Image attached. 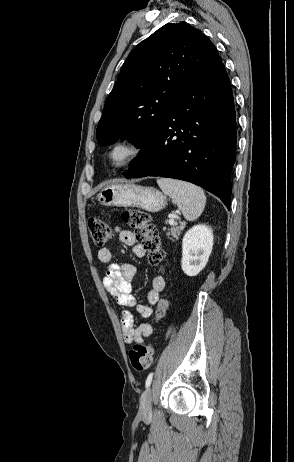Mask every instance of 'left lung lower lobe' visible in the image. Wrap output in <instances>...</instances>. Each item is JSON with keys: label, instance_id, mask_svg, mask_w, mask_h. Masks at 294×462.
Returning a JSON list of instances; mask_svg holds the SVG:
<instances>
[{"label": "left lung lower lobe", "instance_id": "obj_1", "mask_svg": "<svg viewBox=\"0 0 294 462\" xmlns=\"http://www.w3.org/2000/svg\"><path fill=\"white\" fill-rule=\"evenodd\" d=\"M236 113L222 60L179 96L158 135L141 147L126 178L185 180L213 193L230 209L236 158Z\"/></svg>", "mask_w": 294, "mask_h": 462}]
</instances>
